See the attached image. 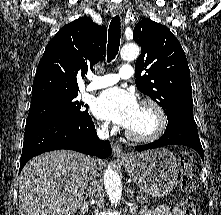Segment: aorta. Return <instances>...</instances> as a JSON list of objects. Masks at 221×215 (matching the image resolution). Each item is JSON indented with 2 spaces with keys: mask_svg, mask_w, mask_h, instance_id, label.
Listing matches in <instances>:
<instances>
[{
  "mask_svg": "<svg viewBox=\"0 0 221 215\" xmlns=\"http://www.w3.org/2000/svg\"><path fill=\"white\" fill-rule=\"evenodd\" d=\"M140 49L136 44H126L122 47L120 56L123 60L133 61L138 58ZM104 187L112 204H117L122 196V186L119 174L111 167L104 171Z\"/></svg>",
  "mask_w": 221,
  "mask_h": 215,
  "instance_id": "obj_1",
  "label": "aorta"
}]
</instances>
